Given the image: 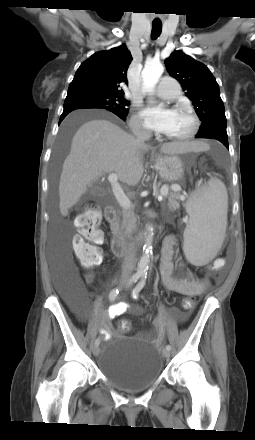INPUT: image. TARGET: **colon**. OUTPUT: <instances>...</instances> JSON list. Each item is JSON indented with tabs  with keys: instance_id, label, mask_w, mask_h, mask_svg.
<instances>
[{
	"instance_id": "5ec220e1",
	"label": "colon",
	"mask_w": 255,
	"mask_h": 440,
	"mask_svg": "<svg viewBox=\"0 0 255 440\" xmlns=\"http://www.w3.org/2000/svg\"><path fill=\"white\" fill-rule=\"evenodd\" d=\"M100 223L101 215L94 207H89L75 219L78 234L73 240L74 252L79 261L88 268L99 265L102 260L100 246L104 243V234L99 228ZM194 302V296L181 300L182 307L185 310ZM120 327L122 330L127 331L130 329V324L123 321Z\"/></svg>"
}]
</instances>
